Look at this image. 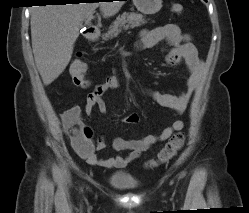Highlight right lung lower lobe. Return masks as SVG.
<instances>
[{
    "label": "right lung lower lobe",
    "mask_w": 249,
    "mask_h": 213,
    "mask_svg": "<svg viewBox=\"0 0 249 213\" xmlns=\"http://www.w3.org/2000/svg\"><path fill=\"white\" fill-rule=\"evenodd\" d=\"M47 2H51V3H56V4H65V3H72V2H77L79 0H46ZM112 1V0H109Z\"/></svg>",
    "instance_id": "obj_1"
}]
</instances>
